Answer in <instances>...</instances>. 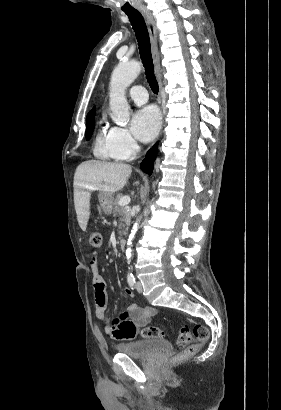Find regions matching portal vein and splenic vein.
I'll list each match as a JSON object with an SVG mask.
<instances>
[{
    "mask_svg": "<svg viewBox=\"0 0 281 410\" xmlns=\"http://www.w3.org/2000/svg\"><path fill=\"white\" fill-rule=\"evenodd\" d=\"M131 199L129 196H123L119 200V205L120 206H126L130 203Z\"/></svg>",
    "mask_w": 281,
    "mask_h": 410,
    "instance_id": "18ae733b",
    "label": "portal vein and splenic vein"
}]
</instances>
